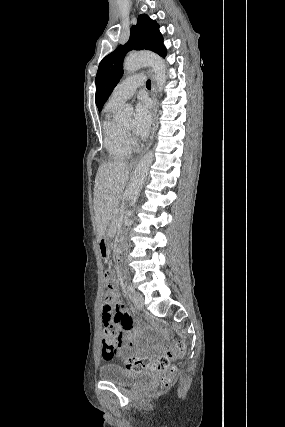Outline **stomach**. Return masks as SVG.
Wrapping results in <instances>:
<instances>
[{
  "label": "stomach",
  "instance_id": "1",
  "mask_svg": "<svg viewBox=\"0 0 285 427\" xmlns=\"http://www.w3.org/2000/svg\"><path fill=\"white\" fill-rule=\"evenodd\" d=\"M99 252L102 257H108L111 252V242L108 234H104L98 241Z\"/></svg>",
  "mask_w": 285,
  "mask_h": 427
}]
</instances>
